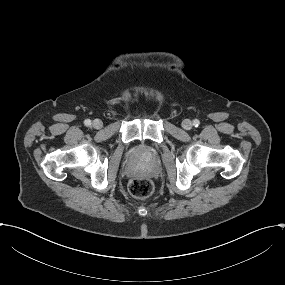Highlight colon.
<instances>
[{"instance_id": "1", "label": "colon", "mask_w": 285, "mask_h": 285, "mask_svg": "<svg viewBox=\"0 0 285 285\" xmlns=\"http://www.w3.org/2000/svg\"><path fill=\"white\" fill-rule=\"evenodd\" d=\"M130 194L138 199L149 197L154 191V184L150 179L135 178L129 183Z\"/></svg>"}]
</instances>
